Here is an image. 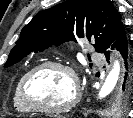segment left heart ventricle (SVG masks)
<instances>
[{
  "mask_svg": "<svg viewBox=\"0 0 133 118\" xmlns=\"http://www.w3.org/2000/svg\"><path fill=\"white\" fill-rule=\"evenodd\" d=\"M30 94L39 105L57 107L67 104L74 96L73 80L61 69H47L35 76Z\"/></svg>",
  "mask_w": 133,
  "mask_h": 118,
  "instance_id": "left-heart-ventricle-1",
  "label": "left heart ventricle"
}]
</instances>
